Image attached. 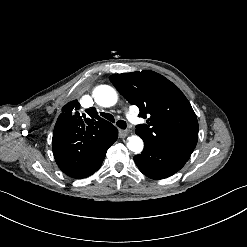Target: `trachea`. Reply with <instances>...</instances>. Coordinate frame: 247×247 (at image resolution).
Wrapping results in <instances>:
<instances>
[{
	"instance_id": "trachea-1",
	"label": "trachea",
	"mask_w": 247,
	"mask_h": 247,
	"mask_svg": "<svg viewBox=\"0 0 247 247\" xmlns=\"http://www.w3.org/2000/svg\"><path fill=\"white\" fill-rule=\"evenodd\" d=\"M101 115H102L105 119H107L108 121H110V122H112V123L115 122V121H114V117H113L111 114H108V113H101ZM116 124H117V126L120 127L121 129H126L127 124H126L125 121L119 120V121H117Z\"/></svg>"
}]
</instances>
